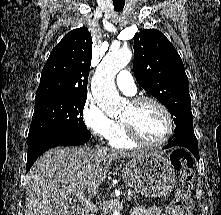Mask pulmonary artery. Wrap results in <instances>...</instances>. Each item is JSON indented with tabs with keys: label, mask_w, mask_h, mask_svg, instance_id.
Wrapping results in <instances>:
<instances>
[{
	"label": "pulmonary artery",
	"mask_w": 221,
	"mask_h": 215,
	"mask_svg": "<svg viewBox=\"0 0 221 215\" xmlns=\"http://www.w3.org/2000/svg\"><path fill=\"white\" fill-rule=\"evenodd\" d=\"M116 84L118 88L127 95H134L136 93V85L128 70H122L119 72L116 78Z\"/></svg>",
	"instance_id": "e3ab8cb5"
}]
</instances>
